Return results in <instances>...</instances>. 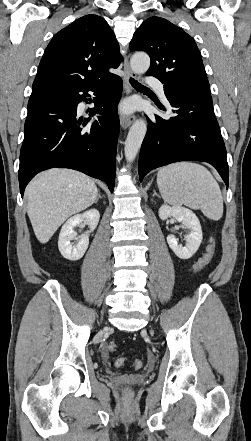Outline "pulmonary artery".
Returning <instances> with one entry per match:
<instances>
[{"mask_svg":"<svg viewBox=\"0 0 251 441\" xmlns=\"http://www.w3.org/2000/svg\"><path fill=\"white\" fill-rule=\"evenodd\" d=\"M147 83L157 91V93L163 100L166 101L164 85L162 84V82L155 78H148Z\"/></svg>","mask_w":251,"mask_h":441,"instance_id":"obj_1","label":"pulmonary artery"}]
</instances>
